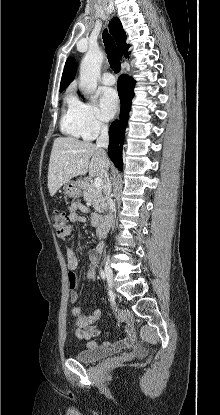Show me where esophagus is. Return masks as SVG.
I'll return each mask as SVG.
<instances>
[{
    "label": "esophagus",
    "instance_id": "1",
    "mask_svg": "<svg viewBox=\"0 0 220 415\" xmlns=\"http://www.w3.org/2000/svg\"><path fill=\"white\" fill-rule=\"evenodd\" d=\"M119 117V113L117 114V118Z\"/></svg>",
    "mask_w": 220,
    "mask_h": 415
}]
</instances>
